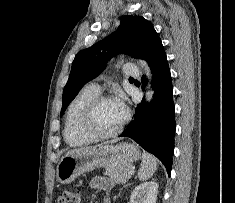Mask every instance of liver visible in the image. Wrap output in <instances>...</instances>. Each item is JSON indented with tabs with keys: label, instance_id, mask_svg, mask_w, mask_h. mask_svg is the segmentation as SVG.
<instances>
[{
	"label": "liver",
	"instance_id": "6515ba94",
	"mask_svg": "<svg viewBox=\"0 0 235 203\" xmlns=\"http://www.w3.org/2000/svg\"><path fill=\"white\" fill-rule=\"evenodd\" d=\"M114 142H116V140L111 141V143H114ZM105 145H108V143L99 144V145H96V146L84 147V148H80V149H73V150H70L67 154H72L74 152L81 151V150L96 149V148H99V147H102V146H105Z\"/></svg>",
	"mask_w": 235,
	"mask_h": 203
}]
</instances>
